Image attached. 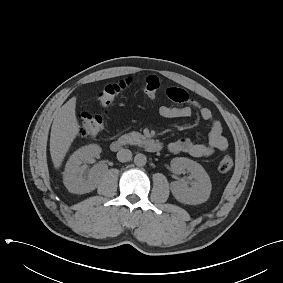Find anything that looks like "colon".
<instances>
[{
    "label": "colon",
    "mask_w": 283,
    "mask_h": 283,
    "mask_svg": "<svg viewBox=\"0 0 283 283\" xmlns=\"http://www.w3.org/2000/svg\"><path fill=\"white\" fill-rule=\"evenodd\" d=\"M130 80H124L112 83L104 87L100 92L98 99L103 107H109L117 95L130 86ZM160 87V81L156 76H148L142 83V90L148 96H154ZM106 125V118L100 114L82 113L79 116V133L84 137H93L98 135ZM233 167V160L229 155H224L218 163V170L222 173L228 172Z\"/></svg>",
    "instance_id": "colon-1"
}]
</instances>
